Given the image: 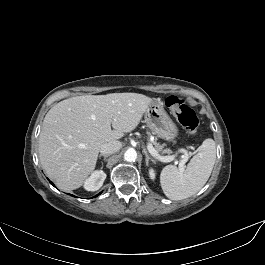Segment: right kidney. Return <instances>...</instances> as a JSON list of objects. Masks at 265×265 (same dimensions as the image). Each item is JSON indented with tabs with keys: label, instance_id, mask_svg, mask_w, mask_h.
<instances>
[{
	"label": "right kidney",
	"instance_id": "1",
	"mask_svg": "<svg viewBox=\"0 0 265 265\" xmlns=\"http://www.w3.org/2000/svg\"><path fill=\"white\" fill-rule=\"evenodd\" d=\"M106 179V174L102 170H97L85 181L84 188L87 191H97L100 189Z\"/></svg>",
	"mask_w": 265,
	"mask_h": 265
}]
</instances>
